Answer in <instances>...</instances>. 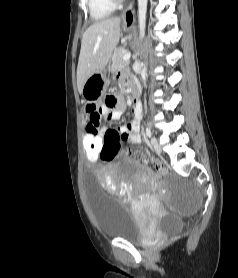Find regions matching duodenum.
Segmentation results:
<instances>
[{
	"label": "duodenum",
	"mask_w": 238,
	"mask_h": 278,
	"mask_svg": "<svg viewBox=\"0 0 238 278\" xmlns=\"http://www.w3.org/2000/svg\"><path fill=\"white\" fill-rule=\"evenodd\" d=\"M133 108L135 112L141 113V104L139 99V93L137 90H133Z\"/></svg>",
	"instance_id": "1"
}]
</instances>
